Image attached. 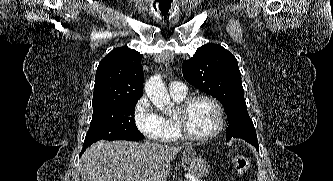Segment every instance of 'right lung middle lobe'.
<instances>
[{"instance_id":"dd1d6c3e","label":"right lung middle lobe","mask_w":333,"mask_h":181,"mask_svg":"<svg viewBox=\"0 0 333 181\" xmlns=\"http://www.w3.org/2000/svg\"><path fill=\"white\" fill-rule=\"evenodd\" d=\"M137 102L138 100H130L93 108V117L83 146L99 140L143 139L134 120Z\"/></svg>"}]
</instances>
